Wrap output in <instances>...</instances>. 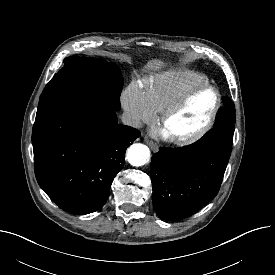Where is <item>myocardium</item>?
Segmentation results:
<instances>
[{"mask_svg":"<svg viewBox=\"0 0 275 275\" xmlns=\"http://www.w3.org/2000/svg\"><path fill=\"white\" fill-rule=\"evenodd\" d=\"M206 90H212L216 95L215 106L211 114L209 115L207 121L198 130L194 131L191 134L184 136H169L170 141L174 144L188 145L194 143L201 139L212 128L221 107V94L215 86L209 84L197 86L186 92L178 100H176L174 103H172L170 106H168L165 110L162 111L160 117V124L164 128L169 119L172 118L175 114H177L193 96Z\"/></svg>","mask_w":275,"mask_h":275,"instance_id":"1","label":"myocardium"}]
</instances>
